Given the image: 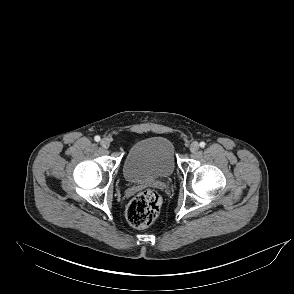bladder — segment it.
<instances>
[{
    "instance_id": "obj_1",
    "label": "bladder",
    "mask_w": 294,
    "mask_h": 294,
    "mask_svg": "<svg viewBox=\"0 0 294 294\" xmlns=\"http://www.w3.org/2000/svg\"><path fill=\"white\" fill-rule=\"evenodd\" d=\"M176 167V150L166 137L155 136L137 141L129 149L123 174L130 183H139L172 175Z\"/></svg>"
}]
</instances>
